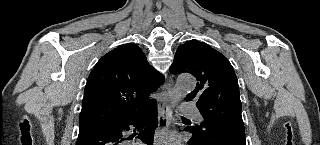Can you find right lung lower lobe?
<instances>
[{
	"mask_svg": "<svg viewBox=\"0 0 320 145\" xmlns=\"http://www.w3.org/2000/svg\"><path fill=\"white\" fill-rule=\"evenodd\" d=\"M134 125L139 131L138 138L147 145H152L155 128L158 125L157 104L141 116L130 121L97 125L79 129L76 145H134L124 133Z\"/></svg>",
	"mask_w": 320,
	"mask_h": 145,
	"instance_id": "1",
	"label": "right lung lower lobe"
}]
</instances>
